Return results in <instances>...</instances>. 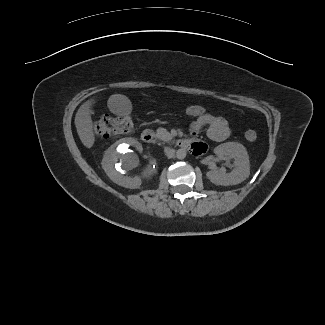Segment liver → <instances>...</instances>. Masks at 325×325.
I'll return each mask as SVG.
<instances>
[{
	"mask_svg": "<svg viewBox=\"0 0 325 325\" xmlns=\"http://www.w3.org/2000/svg\"><path fill=\"white\" fill-rule=\"evenodd\" d=\"M94 103L95 100L93 98L87 100L80 106L75 115V126L77 129L78 136L83 145L87 148H91L95 142L92 120V115H94L95 113L92 108ZM119 103H128L131 105L130 100L125 95L114 94L108 99V105H110L112 108H115Z\"/></svg>",
	"mask_w": 325,
	"mask_h": 325,
	"instance_id": "1",
	"label": "liver"
}]
</instances>
